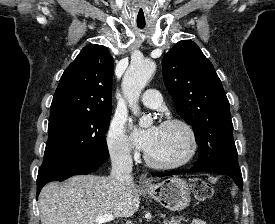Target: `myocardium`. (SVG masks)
<instances>
[{
  "label": "myocardium",
  "mask_w": 275,
  "mask_h": 224,
  "mask_svg": "<svg viewBox=\"0 0 275 224\" xmlns=\"http://www.w3.org/2000/svg\"><path fill=\"white\" fill-rule=\"evenodd\" d=\"M160 126H179L181 127L187 134L188 140H189V148L188 151L186 153V155L181 158L178 161L175 162H159V161H155L154 159H152L148 153L145 154V162L153 168L156 169H164V170H168V169H176V168H180L184 165H186L187 163H189L196 151H197V147H198V143H197V137H196V133L193 129V127L185 120L180 119V118H168L166 120H164Z\"/></svg>",
  "instance_id": "obj_1"
}]
</instances>
